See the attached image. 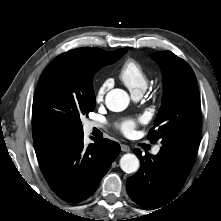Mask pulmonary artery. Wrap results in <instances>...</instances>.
I'll list each match as a JSON object with an SVG mask.
<instances>
[{
  "label": "pulmonary artery",
  "instance_id": "obj_1",
  "mask_svg": "<svg viewBox=\"0 0 221 221\" xmlns=\"http://www.w3.org/2000/svg\"><path fill=\"white\" fill-rule=\"evenodd\" d=\"M142 95H143V92H142V91H138V92L132 93V97H133L134 99H136V100H137V99H140V98L142 97ZM99 127H100L99 124L90 121V122H87V123H86V125H85V130H86L87 132H90V131H92L93 129L99 128ZM159 151H160V145L154 147V149H153V153H154V154H157Z\"/></svg>",
  "mask_w": 221,
  "mask_h": 221
}]
</instances>
